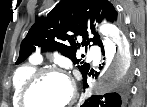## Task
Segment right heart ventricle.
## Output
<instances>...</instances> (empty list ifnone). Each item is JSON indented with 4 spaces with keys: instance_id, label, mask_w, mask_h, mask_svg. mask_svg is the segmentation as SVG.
Instances as JSON below:
<instances>
[{
    "instance_id": "e07e8e85",
    "label": "right heart ventricle",
    "mask_w": 147,
    "mask_h": 107,
    "mask_svg": "<svg viewBox=\"0 0 147 107\" xmlns=\"http://www.w3.org/2000/svg\"><path fill=\"white\" fill-rule=\"evenodd\" d=\"M39 62L33 61L17 68L12 78V103L14 107H23L21 93L29 78L38 70Z\"/></svg>"
}]
</instances>
